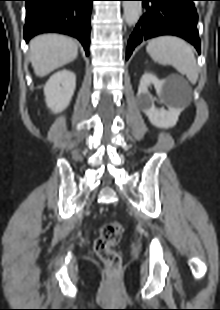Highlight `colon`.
I'll return each mask as SVG.
<instances>
[{"mask_svg":"<svg viewBox=\"0 0 220 310\" xmlns=\"http://www.w3.org/2000/svg\"><path fill=\"white\" fill-rule=\"evenodd\" d=\"M122 237V226L119 222H109L100 228V233L94 242L98 257L107 265L110 273H117L121 268V257L114 250Z\"/></svg>","mask_w":220,"mask_h":310,"instance_id":"1","label":"colon"}]
</instances>
